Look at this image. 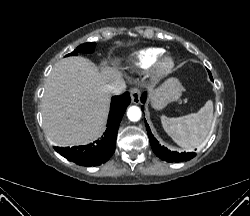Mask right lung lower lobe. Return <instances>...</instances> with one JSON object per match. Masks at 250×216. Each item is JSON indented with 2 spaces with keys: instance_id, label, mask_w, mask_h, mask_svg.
Wrapping results in <instances>:
<instances>
[{
  "instance_id": "1",
  "label": "right lung lower lobe",
  "mask_w": 250,
  "mask_h": 216,
  "mask_svg": "<svg viewBox=\"0 0 250 216\" xmlns=\"http://www.w3.org/2000/svg\"><path fill=\"white\" fill-rule=\"evenodd\" d=\"M129 103L130 94L128 92L112 98L109 122L101 140L86 146L55 147V150L69 161L81 166H98L105 163L115 151L118 128Z\"/></svg>"
}]
</instances>
